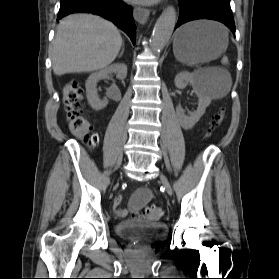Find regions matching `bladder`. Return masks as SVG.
Instances as JSON below:
<instances>
[{
	"label": "bladder",
	"mask_w": 279,
	"mask_h": 279,
	"mask_svg": "<svg viewBox=\"0 0 279 279\" xmlns=\"http://www.w3.org/2000/svg\"><path fill=\"white\" fill-rule=\"evenodd\" d=\"M168 233V227L162 222L125 220L116 225L118 237L145 244L162 241Z\"/></svg>",
	"instance_id": "obj_1"
}]
</instances>
